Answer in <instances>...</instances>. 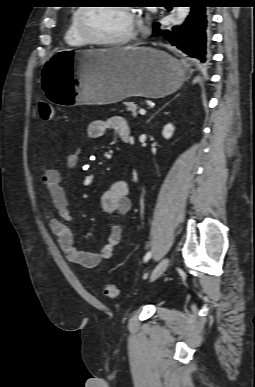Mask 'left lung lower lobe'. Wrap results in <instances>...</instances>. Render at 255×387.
I'll return each instance as SVG.
<instances>
[{
  "label": "left lung lower lobe",
  "mask_w": 255,
  "mask_h": 387,
  "mask_svg": "<svg viewBox=\"0 0 255 387\" xmlns=\"http://www.w3.org/2000/svg\"><path fill=\"white\" fill-rule=\"evenodd\" d=\"M189 4L190 14L181 26H175L172 31H161L159 24L154 26V35H163L173 46L186 54L193 66H203L210 60V7L212 0H184ZM169 10V9H168Z\"/></svg>",
  "instance_id": "0a47b994"
}]
</instances>
